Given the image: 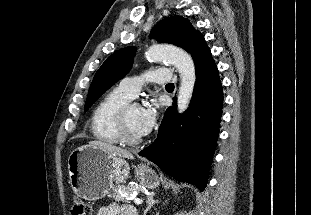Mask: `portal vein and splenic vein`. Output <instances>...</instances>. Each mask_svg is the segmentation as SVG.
<instances>
[{
    "mask_svg": "<svg viewBox=\"0 0 311 215\" xmlns=\"http://www.w3.org/2000/svg\"><path fill=\"white\" fill-rule=\"evenodd\" d=\"M130 199L134 200V203L139 205L142 204V199L136 198L134 195H131Z\"/></svg>",
    "mask_w": 311,
    "mask_h": 215,
    "instance_id": "portal-vein-and-splenic-vein-1",
    "label": "portal vein and splenic vein"
}]
</instances>
